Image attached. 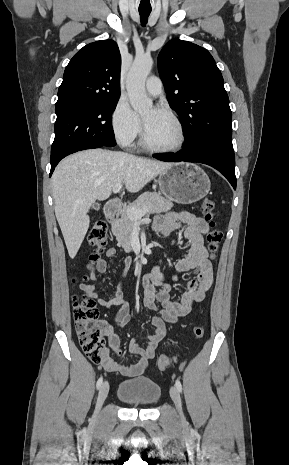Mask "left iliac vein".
Wrapping results in <instances>:
<instances>
[{
    "label": "left iliac vein",
    "mask_w": 289,
    "mask_h": 465,
    "mask_svg": "<svg viewBox=\"0 0 289 465\" xmlns=\"http://www.w3.org/2000/svg\"><path fill=\"white\" fill-rule=\"evenodd\" d=\"M170 396L176 406V409L179 413V416L181 418V420H184V415H183V411H182V403H181V397H180V393L178 391V389L176 387H171L170 389Z\"/></svg>",
    "instance_id": "4c4485c4"
}]
</instances>
